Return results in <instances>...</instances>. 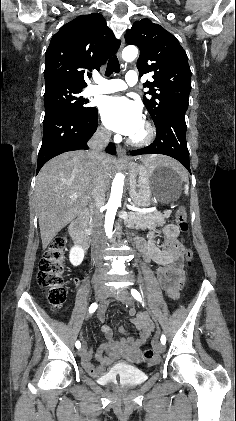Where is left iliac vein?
Wrapping results in <instances>:
<instances>
[{"mask_svg": "<svg viewBox=\"0 0 236 421\" xmlns=\"http://www.w3.org/2000/svg\"><path fill=\"white\" fill-rule=\"evenodd\" d=\"M107 295L112 296L125 304H133V298L126 289H122L119 294L115 293L113 290L107 289ZM152 346L159 353H163L165 350V346L158 341V339L153 341Z\"/></svg>", "mask_w": 236, "mask_h": 421, "instance_id": "1", "label": "left iliac vein"}]
</instances>
